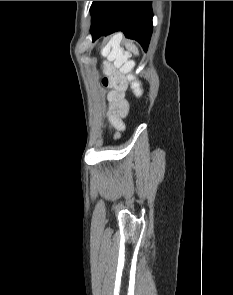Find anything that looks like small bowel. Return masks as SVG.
Segmentation results:
<instances>
[{
  "instance_id": "c3829d8e",
  "label": "small bowel",
  "mask_w": 233,
  "mask_h": 295,
  "mask_svg": "<svg viewBox=\"0 0 233 295\" xmlns=\"http://www.w3.org/2000/svg\"><path fill=\"white\" fill-rule=\"evenodd\" d=\"M111 113L109 115L110 121L116 128H121L122 125L119 122V118L123 117L128 110V102L124 98L123 90L113 91L110 94Z\"/></svg>"
}]
</instances>
